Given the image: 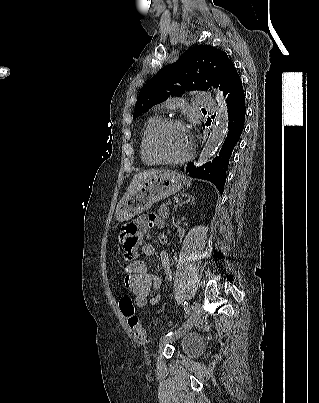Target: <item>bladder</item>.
Here are the masks:
<instances>
[{
	"mask_svg": "<svg viewBox=\"0 0 319 403\" xmlns=\"http://www.w3.org/2000/svg\"><path fill=\"white\" fill-rule=\"evenodd\" d=\"M201 340L196 336L185 337L179 344V351L186 355H195L201 349Z\"/></svg>",
	"mask_w": 319,
	"mask_h": 403,
	"instance_id": "31cf9c89",
	"label": "bladder"
}]
</instances>
